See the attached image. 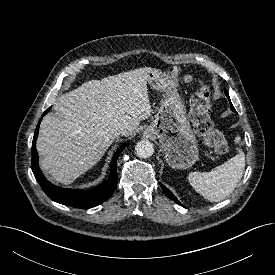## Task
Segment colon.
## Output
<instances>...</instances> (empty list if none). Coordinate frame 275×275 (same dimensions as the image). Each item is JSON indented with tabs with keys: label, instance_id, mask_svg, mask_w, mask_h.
Wrapping results in <instances>:
<instances>
[{
	"label": "colon",
	"instance_id": "5ec220e1",
	"mask_svg": "<svg viewBox=\"0 0 275 275\" xmlns=\"http://www.w3.org/2000/svg\"><path fill=\"white\" fill-rule=\"evenodd\" d=\"M186 82L192 77L187 75ZM212 109L211 92L207 86H200L190 99L189 118L194 132L201 137L205 144L213 151L223 154L228 150V140L219 130L215 129L211 120Z\"/></svg>",
	"mask_w": 275,
	"mask_h": 275
}]
</instances>
